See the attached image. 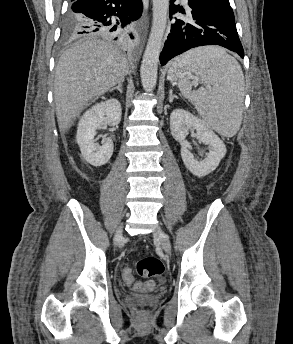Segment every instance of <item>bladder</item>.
Instances as JSON below:
<instances>
[{"instance_id":"1","label":"bladder","mask_w":293,"mask_h":344,"mask_svg":"<svg viewBox=\"0 0 293 344\" xmlns=\"http://www.w3.org/2000/svg\"><path fill=\"white\" fill-rule=\"evenodd\" d=\"M138 299L143 300V301H147V302H151L154 300L153 297L150 296H146V297H138Z\"/></svg>"}]
</instances>
